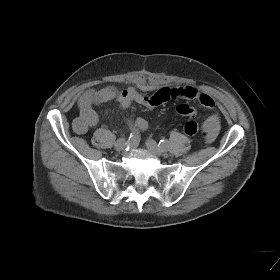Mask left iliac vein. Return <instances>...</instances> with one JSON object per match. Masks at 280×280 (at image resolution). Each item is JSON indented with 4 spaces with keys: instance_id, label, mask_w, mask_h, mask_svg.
Here are the masks:
<instances>
[{
    "instance_id": "obj_1",
    "label": "left iliac vein",
    "mask_w": 280,
    "mask_h": 280,
    "mask_svg": "<svg viewBox=\"0 0 280 280\" xmlns=\"http://www.w3.org/2000/svg\"><path fill=\"white\" fill-rule=\"evenodd\" d=\"M146 146L156 156H161L164 153V149L152 139L146 141Z\"/></svg>"
}]
</instances>
